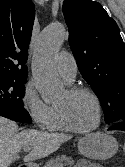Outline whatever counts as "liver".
Masks as SVG:
<instances>
[{"instance_id":"liver-1","label":"liver","mask_w":125,"mask_h":167,"mask_svg":"<svg viewBox=\"0 0 125 167\" xmlns=\"http://www.w3.org/2000/svg\"><path fill=\"white\" fill-rule=\"evenodd\" d=\"M69 139H71L70 135L32 129L18 132L16 122L0 117V167H8L18 159V153L24 147L32 149L24 157L25 162H31L55 152Z\"/></svg>"}]
</instances>
